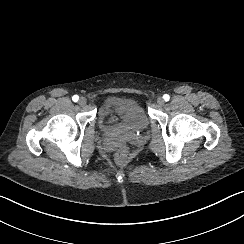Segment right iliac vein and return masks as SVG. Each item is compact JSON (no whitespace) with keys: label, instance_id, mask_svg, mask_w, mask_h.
I'll use <instances>...</instances> for the list:
<instances>
[{"label":"right iliac vein","instance_id":"63e3f726","mask_svg":"<svg viewBox=\"0 0 244 244\" xmlns=\"http://www.w3.org/2000/svg\"><path fill=\"white\" fill-rule=\"evenodd\" d=\"M86 103H87L86 98L81 97V98L79 99V104H80V106H85V105H86Z\"/></svg>","mask_w":244,"mask_h":244}]
</instances>
